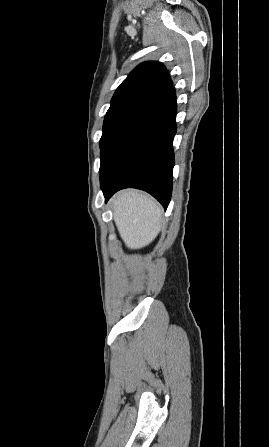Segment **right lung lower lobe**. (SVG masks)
<instances>
[{
    "label": "right lung lower lobe",
    "instance_id": "98d812e1",
    "mask_svg": "<svg viewBox=\"0 0 269 447\" xmlns=\"http://www.w3.org/2000/svg\"><path fill=\"white\" fill-rule=\"evenodd\" d=\"M175 89L127 115L101 152L100 182L106 201L118 190L147 191L164 207L171 199L176 133Z\"/></svg>",
    "mask_w": 269,
    "mask_h": 447
}]
</instances>
